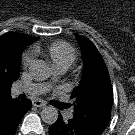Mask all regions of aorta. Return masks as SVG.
<instances>
[{
	"label": "aorta",
	"instance_id": "762f6f07",
	"mask_svg": "<svg viewBox=\"0 0 135 135\" xmlns=\"http://www.w3.org/2000/svg\"><path fill=\"white\" fill-rule=\"evenodd\" d=\"M29 71L33 78L39 81L48 79L51 74V68L43 60H33L29 66ZM41 118L45 123L52 125L58 119V110L52 106L45 107L41 111Z\"/></svg>",
	"mask_w": 135,
	"mask_h": 135
}]
</instances>
